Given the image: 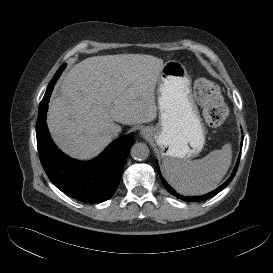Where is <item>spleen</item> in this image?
<instances>
[{
    "mask_svg": "<svg viewBox=\"0 0 273 273\" xmlns=\"http://www.w3.org/2000/svg\"><path fill=\"white\" fill-rule=\"evenodd\" d=\"M232 159L231 144L213 150L198 160H163L169 183L186 195H202L214 190L227 173Z\"/></svg>",
    "mask_w": 273,
    "mask_h": 273,
    "instance_id": "3e777b00",
    "label": "spleen"
}]
</instances>
